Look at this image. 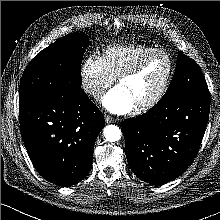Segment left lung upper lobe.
Listing matches in <instances>:
<instances>
[{
    "instance_id": "left-lung-upper-lobe-1",
    "label": "left lung upper lobe",
    "mask_w": 220,
    "mask_h": 220,
    "mask_svg": "<svg viewBox=\"0 0 220 220\" xmlns=\"http://www.w3.org/2000/svg\"><path fill=\"white\" fill-rule=\"evenodd\" d=\"M179 56L173 80L156 106L177 101L193 94L209 93L206 80L199 66L182 53H179Z\"/></svg>"
}]
</instances>
